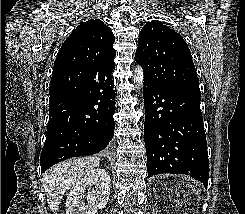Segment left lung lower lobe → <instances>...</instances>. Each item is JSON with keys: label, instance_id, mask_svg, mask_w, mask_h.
I'll return each instance as SVG.
<instances>
[{"label": "left lung lower lobe", "instance_id": "1", "mask_svg": "<svg viewBox=\"0 0 245 214\" xmlns=\"http://www.w3.org/2000/svg\"><path fill=\"white\" fill-rule=\"evenodd\" d=\"M143 96L148 177L185 174L206 187L209 160L200 92L164 88L144 80Z\"/></svg>", "mask_w": 245, "mask_h": 214}]
</instances>
